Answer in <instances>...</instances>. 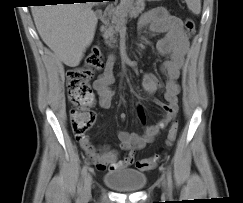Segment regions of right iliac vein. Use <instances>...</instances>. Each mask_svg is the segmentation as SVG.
<instances>
[{
	"label": "right iliac vein",
	"mask_w": 243,
	"mask_h": 203,
	"mask_svg": "<svg viewBox=\"0 0 243 203\" xmlns=\"http://www.w3.org/2000/svg\"><path fill=\"white\" fill-rule=\"evenodd\" d=\"M91 186H92V175L88 174V175H86V178H85V185H84V189H83V195L84 196L90 195Z\"/></svg>",
	"instance_id": "obj_1"
}]
</instances>
